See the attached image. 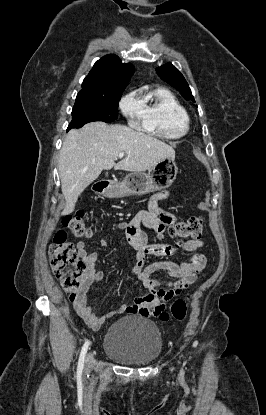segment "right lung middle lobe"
<instances>
[{
	"label": "right lung middle lobe",
	"mask_w": 266,
	"mask_h": 415,
	"mask_svg": "<svg viewBox=\"0 0 266 415\" xmlns=\"http://www.w3.org/2000/svg\"><path fill=\"white\" fill-rule=\"evenodd\" d=\"M122 92L111 95L78 94L68 129L80 128L93 121L112 122L118 117V102Z\"/></svg>",
	"instance_id": "1"
}]
</instances>
